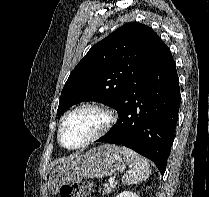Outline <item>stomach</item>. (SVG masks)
Segmentation results:
<instances>
[{"instance_id": "obj_1", "label": "stomach", "mask_w": 209, "mask_h": 197, "mask_svg": "<svg viewBox=\"0 0 209 197\" xmlns=\"http://www.w3.org/2000/svg\"><path fill=\"white\" fill-rule=\"evenodd\" d=\"M126 163V156L119 146L106 144L92 148L53 169L48 180L49 191L57 193L63 185L82 178H102L119 173Z\"/></svg>"}]
</instances>
